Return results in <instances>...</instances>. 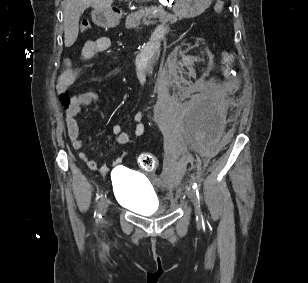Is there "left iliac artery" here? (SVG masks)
I'll return each mask as SVG.
<instances>
[{"label":"left iliac artery","mask_w":308,"mask_h":283,"mask_svg":"<svg viewBox=\"0 0 308 283\" xmlns=\"http://www.w3.org/2000/svg\"><path fill=\"white\" fill-rule=\"evenodd\" d=\"M192 187H193V189L195 190L196 195H197V197H198V199H199V190H198V185L194 182V183H193V185H192ZM202 219H203V218H202Z\"/></svg>","instance_id":"obj_1"}]
</instances>
